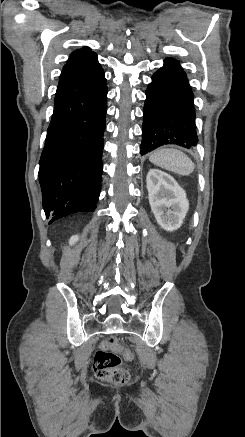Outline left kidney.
<instances>
[{"instance_id": "left-kidney-1", "label": "left kidney", "mask_w": 245, "mask_h": 437, "mask_svg": "<svg viewBox=\"0 0 245 437\" xmlns=\"http://www.w3.org/2000/svg\"><path fill=\"white\" fill-rule=\"evenodd\" d=\"M149 204L157 223L167 231L179 229L189 210L186 193L176 180L158 169L146 177Z\"/></svg>"}]
</instances>
